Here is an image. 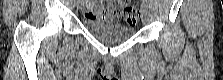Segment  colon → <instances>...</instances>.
Returning a JSON list of instances; mask_svg holds the SVG:
<instances>
[{
	"label": "colon",
	"instance_id": "obj_1",
	"mask_svg": "<svg viewBox=\"0 0 223 80\" xmlns=\"http://www.w3.org/2000/svg\"><path fill=\"white\" fill-rule=\"evenodd\" d=\"M114 12L131 26L138 24L141 19L139 10L129 1L114 2Z\"/></svg>",
	"mask_w": 223,
	"mask_h": 80
}]
</instances>
